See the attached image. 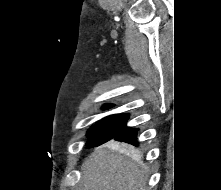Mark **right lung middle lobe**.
<instances>
[{
	"label": "right lung middle lobe",
	"instance_id": "obj_1",
	"mask_svg": "<svg viewBox=\"0 0 221 190\" xmlns=\"http://www.w3.org/2000/svg\"><path fill=\"white\" fill-rule=\"evenodd\" d=\"M110 107L112 106H104L103 108L107 109ZM128 118V114H114L101 119L88 131L87 136L89 140L86 146L89 148L96 147L113 139L126 127Z\"/></svg>",
	"mask_w": 221,
	"mask_h": 190
}]
</instances>
